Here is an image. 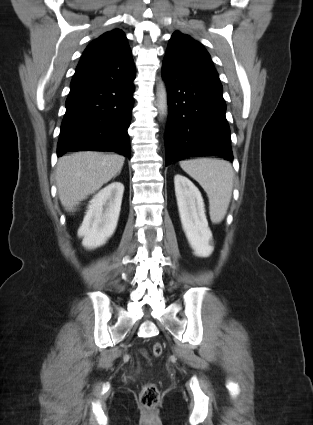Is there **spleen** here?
<instances>
[{"label": "spleen", "mask_w": 313, "mask_h": 425, "mask_svg": "<svg viewBox=\"0 0 313 425\" xmlns=\"http://www.w3.org/2000/svg\"><path fill=\"white\" fill-rule=\"evenodd\" d=\"M181 168L194 178L209 198V214L213 223H220L230 204L234 172L224 160L200 158L180 162Z\"/></svg>", "instance_id": "spleen-1"}]
</instances>
